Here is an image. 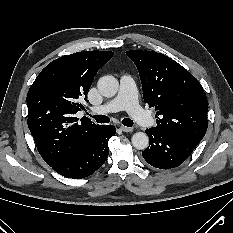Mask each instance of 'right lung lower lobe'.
Masks as SVG:
<instances>
[{"label": "right lung lower lobe", "instance_id": "right-lung-lower-lobe-1", "mask_svg": "<svg viewBox=\"0 0 233 233\" xmlns=\"http://www.w3.org/2000/svg\"><path fill=\"white\" fill-rule=\"evenodd\" d=\"M113 125L104 128L77 154L52 166L59 174L68 178H84L99 169L109 154L108 141L115 135Z\"/></svg>", "mask_w": 233, "mask_h": 233}]
</instances>
